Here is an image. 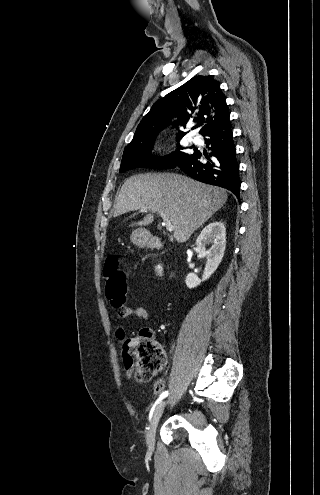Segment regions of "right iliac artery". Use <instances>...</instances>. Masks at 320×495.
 <instances>
[{"label":"right iliac artery","instance_id":"82829eb1","mask_svg":"<svg viewBox=\"0 0 320 495\" xmlns=\"http://www.w3.org/2000/svg\"><path fill=\"white\" fill-rule=\"evenodd\" d=\"M168 396V391H164L161 393V395L159 396L158 400L155 402L154 406L152 407L151 411H150V419L152 417V414H153V411H154V408L155 406L162 400L164 399L165 397Z\"/></svg>","mask_w":320,"mask_h":495}]
</instances>
